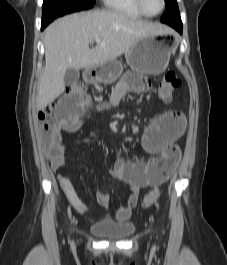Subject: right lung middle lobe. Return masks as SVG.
<instances>
[{
	"label": "right lung middle lobe",
	"instance_id": "dd1d6c3e",
	"mask_svg": "<svg viewBox=\"0 0 227 265\" xmlns=\"http://www.w3.org/2000/svg\"><path fill=\"white\" fill-rule=\"evenodd\" d=\"M95 0H44L42 6V26H47L55 18L68 13L89 9Z\"/></svg>",
	"mask_w": 227,
	"mask_h": 265
}]
</instances>
